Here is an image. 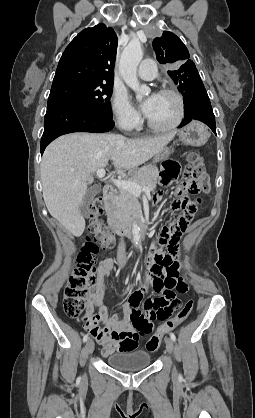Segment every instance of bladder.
Wrapping results in <instances>:
<instances>
[{
  "label": "bladder",
  "instance_id": "1",
  "mask_svg": "<svg viewBox=\"0 0 255 418\" xmlns=\"http://www.w3.org/2000/svg\"><path fill=\"white\" fill-rule=\"evenodd\" d=\"M151 355L145 350L113 354L106 359L109 366L120 371H136L150 365Z\"/></svg>",
  "mask_w": 255,
  "mask_h": 418
}]
</instances>
